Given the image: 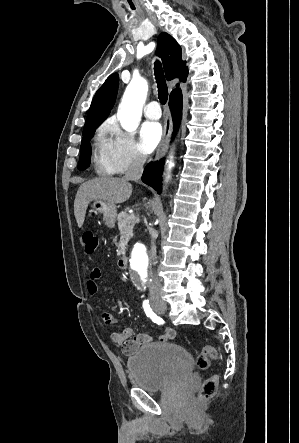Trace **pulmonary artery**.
Instances as JSON below:
<instances>
[{
  "mask_svg": "<svg viewBox=\"0 0 299 443\" xmlns=\"http://www.w3.org/2000/svg\"><path fill=\"white\" fill-rule=\"evenodd\" d=\"M144 114L148 119H159L161 117V109L157 101L149 102L145 109Z\"/></svg>",
  "mask_w": 299,
  "mask_h": 443,
  "instance_id": "1",
  "label": "pulmonary artery"
}]
</instances>
